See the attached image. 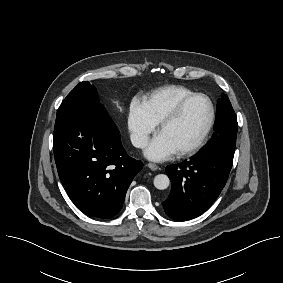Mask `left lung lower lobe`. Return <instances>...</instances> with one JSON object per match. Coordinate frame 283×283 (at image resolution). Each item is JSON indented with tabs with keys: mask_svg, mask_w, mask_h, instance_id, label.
<instances>
[{
	"mask_svg": "<svg viewBox=\"0 0 283 283\" xmlns=\"http://www.w3.org/2000/svg\"><path fill=\"white\" fill-rule=\"evenodd\" d=\"M234 153L220 147H203L189 161L166 167L172 189L162 203L175 220H189L205 212L228 179Z\"/></svg>",
	"mask_w": 283,
	"mask_h": 283,
	"instance_id": "0a47b994",
	"label": "left lung lower lobe"
}]
</instances>
